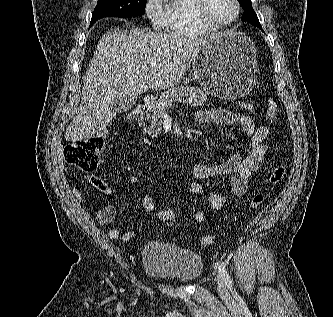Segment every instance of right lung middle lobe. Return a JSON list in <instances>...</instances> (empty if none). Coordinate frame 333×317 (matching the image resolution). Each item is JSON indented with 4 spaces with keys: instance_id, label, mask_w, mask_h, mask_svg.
<instances>
[{
    "instance_id": "obj_1",
    "label": "right lung middle lobe",
    "mask_w": 333,
    "mask_h": 317,
    "mask_svg": "<svg viewBox=\"0 0 333 317\" xmlns=\"http://www.w3.org/2000/svg\"><path fill=\"white\" fill-rule=\"evenodd\" d=\"M146 0H98L90 25L103 17L141 16Z\"/></svg>"
}]
</instances>
